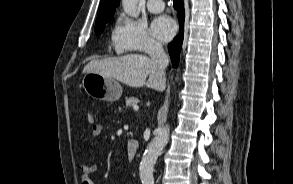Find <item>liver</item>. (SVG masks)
<instances>
[{
  "label": "liver",
  "instance_id": "1",
  "mask_svg": "<svg viewBox=\"0 0 293 184\" xmlns=\"http://www.w3.org/2000/svg\"><path fill=\"white\" fill-rule=\"evenodd\" d=\"M83 72H94L112 77L131 87L139 88L146 85L157 91L165 89V79L158 74L152 60L145 55L130 54L122 57L93 59L84 67Z\"/></svg>",
  "mask_w": 293,
  "mask_h": 184
}]
</instances>
